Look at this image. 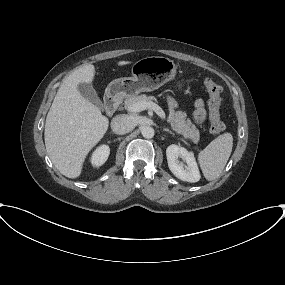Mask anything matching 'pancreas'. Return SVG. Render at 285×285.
Returning <instances> with one entry per match:
<instances>
[{"label": "pancreas", "instance_id": "obj_1", "mask_svg": "<svg viewBox=\"0 0 285 285\" xmlns=\"http://www.w3.org/2000/svg\"><path fill=\"white\" fill-rule=\"evenodd\" d=\"M144 101V102H153L156 101L154 96H146L145 94L136 96H129L125 101V108L128 109L131 105ZM187 115L184 111H174L169 110V116L167 121L171 124L172 129L181 134L185 139H190L193 143L197 144L200 139V132L194 124H192L189 118H186Z\"/></svg>", "mask_w": 285, "mask_h": 285}]
</instances>
